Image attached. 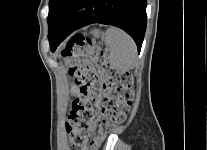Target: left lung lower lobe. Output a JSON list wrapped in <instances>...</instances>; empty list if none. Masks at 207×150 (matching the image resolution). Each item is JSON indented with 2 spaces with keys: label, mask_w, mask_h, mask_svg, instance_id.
Listing matches in <instances>:
<instances>
[{
  "label": "left lung lower lobe",
  "mask_w": 207,
  "mask_h": 150,
  "mask_svg": "<svg viewBox=\"0 0 207 150\" xmlns=\"http://www.w3.org/2000/svg\"><path fill=\"white\" fill-rule=\"evenodd\" d=\"M146 0H69L48 30L51 51L73 31L92 24L117 26L136 42L140 52L146 30Z\"/></svg>",
  "instance_id": "0a47b994"
}]
</instances>
